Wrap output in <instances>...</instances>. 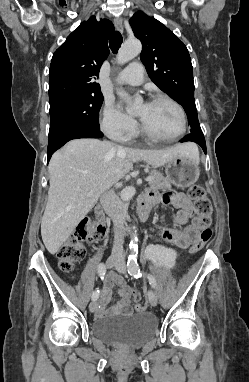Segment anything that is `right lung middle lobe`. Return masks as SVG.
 Instances as JSON below:
<instances>
[{
    "label": "right lung middle lobe",
    "instance_id": "obj_1",
    "mask_svg": "<svg viewBox=\"0 0 249 382\" xmlns=\"http://www.w3.org/2000/svg\"><path fill=\"white\" fill-rule=\"evenodd\" d=\"M103 95L71 97L50 104L49 136L77 126H99Z\"/></svg>",
    "mask_w": 249,
    "mask_h": 382
}]
</instances>
